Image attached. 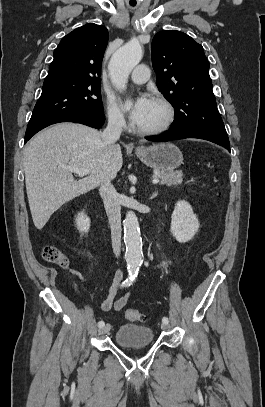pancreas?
<instances>
[{"mask_svg":"<svg viewBox=\"0 0 265 407\" xmlns=\"http://www.w3.org/2000/svg\"><path fill=\"white\" fill-rule=\"evenodd\" d=\"M153 177L160 179V184L166 186L179 185L183 181L182 171H159Z\"/></svg>","mask_w":265,"mask_h":407,"instance_id":"cf45deb5","label":"pancreas"}]
</instances>
